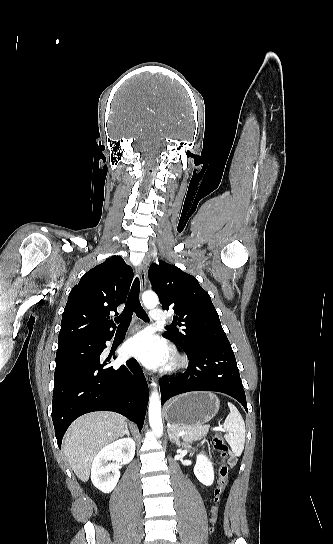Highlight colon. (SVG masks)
Listing matches in <instances>:
<instances>
[{
    "instance_id": "colon-1",
    "label": "colon",
    "mask_w": 333,
    "mask_h": 544,
    "mask_svg": "<svg viewBox=\"0 0 333 544\" xmlns=\"http://www.w3.org/2000/svg\"><path fill=\"white\" fill-rule=\"evenodd\" d=\"M213 447L222 457V463L219 467L218 481L213 492V505L211 508V521L213 524H215L219 513V504L221 501V497L228 484L230 465L226 462V457L228 455V446L224 438L220 434L215 435L213 439Z\"/></svg>"
}]
</instances>
